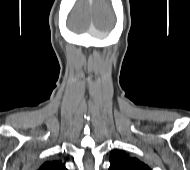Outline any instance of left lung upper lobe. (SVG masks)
I'll return each mask as SVG.
<instances>
[{"mask_svg":"<svg viewBox=\"0 0 190 170\" xmlns=\"http://www.w3.org/2000/svg\"><path fill=\"white\" fill-rule=\"evenodd\" d=\"M109 170H151V168L124 151L115 150L110 156Z\"/></svg>","mask_w":190,"mask_h":170,"instance_id":"5c2ea615","label":"left lung upper lobe"}]
</instances>
